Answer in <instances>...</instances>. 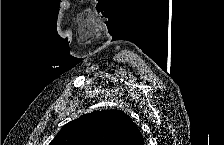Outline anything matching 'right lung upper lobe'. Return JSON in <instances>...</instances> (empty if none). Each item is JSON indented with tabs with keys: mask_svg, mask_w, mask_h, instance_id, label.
<instances>
[{
	"mask_svg": "<svg viewBox=\"0 0 224 145\" xmlns=\"http://www.w3.org/2000/svg\"><path fill=\"white\" fill-rule=\"evenodd\" d=\"M49 145H144V140L124 112L102 110L67 123Z\"/></svg>",
	"mask_w": 224,
	"mask_h": 145,
	"instance_id": "obj_1",
	"label": "right lung upper lobe"
}]
</instances>
